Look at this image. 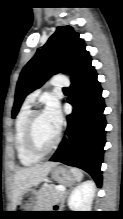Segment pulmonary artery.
Returning a JSON list of instances; mask_svg holds the SVG:
<instances>
[{
	"label": "pulmonary artery",
	"instance_id": "1",
	"mask_svg": "<svg viewBox=\"0 0 123 219\" xmlns=\"http://www.w3.org/2000/svg\"><path fill=\"white\" fill-rule=\"evenodd\" d=\"M50 84L57 88H64V87H68L70 82L65 76L58 75L51 79ZM38 94L39 91H35L29 94L25 100V103L29 105L33 104Z\"/></svg>",
	"mask_w": 123,
	"mask_h": 219
}]
</instances>
